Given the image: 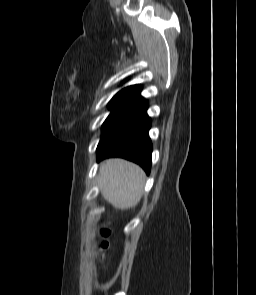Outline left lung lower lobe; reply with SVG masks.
Masks as SVG:
<instances>
[{"instance_id": "left-lung-lower-lobe-1", "label": "left lung lower lobe", "mask_w": 256, "mask_h": 295, "mask_svg": "<svg viewBox=\"0 0 256 295\" xmlns=\"http://www.w3.org/2000/svg\"><path fill=\"white\" fill-rule=\"evenodd\" d=\"M147 107L148 104L101 138L97 161L122 157L139 164L149 174L152 143L148 135L151 121L146 113Z\"/></svg>"}]
</instances>
